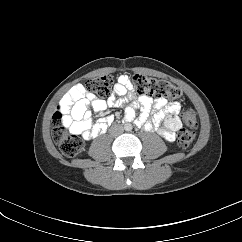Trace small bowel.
I'll return each instance as SVG.
<instances>
[{"instance_id": "obj_1", "label": "small bowel", "mask_w": 242, "mask_h": 242, "mask_svg": "<svg viewBox=\"0 0 242 242\" xmlns=\"http://www.w3.org/2000/svg\"><path fill=\"white\" fill-rule=\"evenodd\" d=\"M133 97L131 83L126 76H121L115 85L114 95L108 99L85 93L81 85L73 87L63 98L60 111L64 115V123L69 130L87 140L104 132L114 120L111 115L95 118V114L105 110L108 106L126 105ZM152 109L155 112L149 119ZM180 110L181 105L179 102H167L164 98L154 100L149 96H140L126 107L124 116L127 121H132L135 119L137 111H139L136 120L137 125H145L148 129L153 130L164 122L161 135L168 141H173L176 132L181 127L178 117Z\"/></svg>"}]
</instances>
